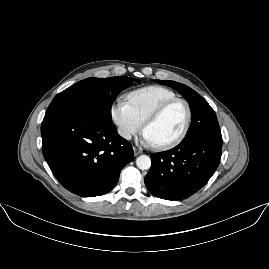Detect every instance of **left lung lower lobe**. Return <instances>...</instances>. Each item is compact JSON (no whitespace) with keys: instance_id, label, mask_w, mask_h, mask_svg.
<instances>
[{"instance_id":"0a47b994","label":"left lung lower lobe","mask_w":269,"mask_h":269,"mask_svg":"<svg viewBox=\"0 0 269 269\" xmlns=\"http://www.w3.org/2000/svg\"><path fill=\"white\" fill-rule=\"evenodd\" d=\"M221 152V136H204L181 142L169 151L151 154L152 166L145 176V185L158 198L186 199L214 174Z\"/></svg>"}]
</instances>
